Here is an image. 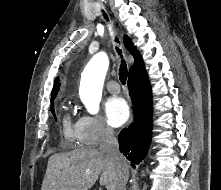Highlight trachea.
Returning a JSON list of instances; mask_svg holds the SVG:
<instances>
[{"instance_id":"3493384b","label":"trachea","mask_w":221,"mask_h":190,"mask_svg":"<svg viewBox=\"0 0 221 190\" xmlns=\"http://www.w3.org/2000/svg\"><path fill=\"white\" fill-rule=\"evenodd\" d=\"M104 16L107 19V15L105 13H104ZM116 42H118L117 38H116ZM116 50L119 53V55L122 54V51L118 47H116ZM127 75H128L127 65H126L125 61L122 60V63H121L120 68H119V79H120L122 84L126 83Z\"/></svg>"}]
</instances>
